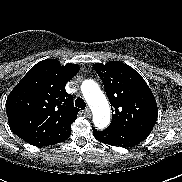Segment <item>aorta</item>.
I'll list each match as a JSON object with an SVG mask.
<instances>
[{"label":"aorta","mask_w":182,"mask_h":182,"mask_svg":"<svg viewBox=\"0 0 182 182\" xmlns=\"http://www.w3.org/2000/svg\"><path fill=\"white\" fill-rule=\"evenodd\" d=\"M81 90L93 112L94 125L98 129L107 127L110 122V107L98 84L93 80H85Z\"/></svg>","instance_id":"762f6f07"}]
</instances>
